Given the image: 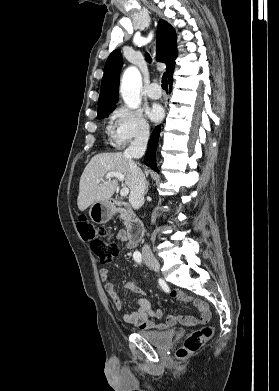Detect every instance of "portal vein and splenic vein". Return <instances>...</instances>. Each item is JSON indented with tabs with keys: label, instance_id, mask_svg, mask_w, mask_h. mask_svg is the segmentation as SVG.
I'll return each mask as SVG.
<instances>
[{
	"label": "portal vein and splenic vein",
	"instance_id": "portal-vein-and-splenic-vein-1",
	"mask_svg": "<svg viewBox=\"0 0 279 391\" xmlns=\"http://www.w3.org/2000/svg\"><path fill=\"white\" fill-rule=\"evenodd\" d=\"M112 177H116L118 180H120V181H123L124 180V176L121 174V173H116V172H111V173H109L108 175H107V179H109V178H112ZM97 183H100V180H97L96 181ZM128 193H129V189L127 188V187H123L122 189H121V191H120V195L122 196V197H125V196H127L128 195Z\"/></svg>",
	"mask_w": 279,
	"mask_h": 391
}]
</instances>
